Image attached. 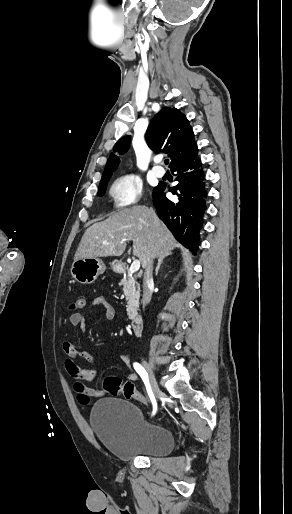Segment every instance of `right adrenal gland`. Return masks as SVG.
I'll return each mask as SVG.
<instances>
[{
	"label": "right adrenal gland",
	"mask_w": 292,
	"mask_h": 514,
	"mask_svg": "<svg viewBox=\"0 0 292 514\" xmlns=\"http://www.w3.org/2000/svg\"><path fill=\"white\" fill-rule=\"evenodd\" d=\"M164 258H165V256H163V258H159V260H158V264H157V268H156V270H155V276H158V272H159V270H160V266H161V264H162V262H163Z\"/></svg>",
	"instance_id": "right-adrenal-gland-1"
}]
</instances>
